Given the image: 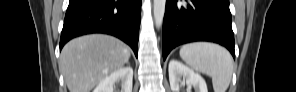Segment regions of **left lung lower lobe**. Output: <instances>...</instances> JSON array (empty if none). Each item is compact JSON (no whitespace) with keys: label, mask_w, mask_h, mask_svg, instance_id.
<instances>
[{"label":"left lung lower lobe","mask_w":296,"mask_h":92,"mask_svg":"<svg viewBox=\"0 0 296 92\" xmlns=\"http://www.w3.org/2000/svg\"><path fill=\"white\" fill-rule=\"evenodd\" d=\"M210 41L235 58L229 0H167L163 20V59L178 45Z\"/></svg>","instance_id":"0a47b994"}]
</instances>
